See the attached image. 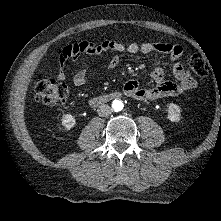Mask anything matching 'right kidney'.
<instances>
[{"instance_id":"right-kidney-1","label":"right kidney","mask_w":221,"mask_h":221,"mask_svg":"<svg viewBox=\"0 0 221 221\" xmlns=\"http://www.w3.org/2000/svg\"><path fill=\"white\" fill-rule=\"evenodd\" d=\"M61 124L62 126L66 129V130H70L71 128H73L76 124V120L74 118V116H72L71 114H65L62 116L61 119Z\"/></svg>"}]
</instances>
